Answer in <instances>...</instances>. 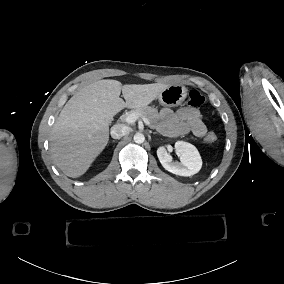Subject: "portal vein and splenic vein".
Instances as JSON below:
<instances>
[{"mask_svg": "<svg viewBox=\"0 0 284 284\" xmlns=\"http://www.w3.org/2000/svg\"><path fill=\"white\" fill-rule=\"evenodd\" d=\"M139 116L136 115V114H132V115H127L124 119V121L127 123V124H134L135 121L137 120ZM144 123L148 126V127H151V123L148 119L146 118H142Z\"/></svg>", "mask_w": 284, "mask_h": 284, "instance_id": "18ae733b", "label": "portal vein and splenic vein"}]
</instances>
